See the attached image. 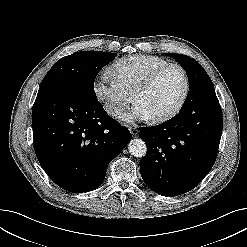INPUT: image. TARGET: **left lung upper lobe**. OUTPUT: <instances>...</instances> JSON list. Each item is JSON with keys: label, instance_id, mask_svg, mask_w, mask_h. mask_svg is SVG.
<instances>
[{"label": "left lung upper lobe", "instance_id": "obj_1", "mask_svg": "<svg viewBox=\"0 0 247 247\" xmlns=\"http://www.w3.org/2000/svg\"><path fill=\"white\" fill-rule=\"evenodd\" d=\"M167 55L172 56L180 63L188 76L190 91L182 108L188 107L193 103H203L209 99L217 98L210 77L195 59L181 54L168 53Z\"/></svg>", "mask_w": 247, "mask_h": 247}]
</instances>
